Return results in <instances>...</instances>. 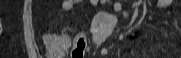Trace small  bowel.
<instances>
[{"label": "small bowel", "instance_id": "c3829d8e", "mask_svg": "<svg viewBox=\"0 0 181 58\" xmlns=\"http://www.w3.org/2000/svg\"><path fill=\"white\" fill-rule=\"evenodd\" d=\"M78 2H79V0H65L63 2V4H62L63 10L72 11L76 7ZM91 2H92V4L96 5L98 3V0H91ZM170 2H171V0H159L158 1V7L160 9H165L170 4ZM112 8L116 12L121 11V5L119 3H117V2H114L112 4ZM78 37H81V38L85 39V36L82 35V34H77L75 36V38H78ZM63 38L68 39L67 37H63ZM64 50H66V48L61 49V51H64ZM108 51H109V48H106V47H103L100 50L102 55H106L108 53Z\"/></svg>", "mask_w": 181, "mask_h": 58}]
</instances>
